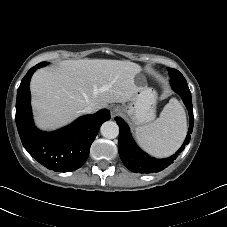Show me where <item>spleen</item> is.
Returning a JSON list of instances; mask_svg holds the SVG:
<instances>
[{
  "label": "spleen",
  "mask_w": 227,
  "mask_h": 227,
  "mask_svg": "<svg viewBox=\"0 0 227 227\" xmlns=\"http://www.w3.org/2000/svg\"><path fill=\"white\" fill-rule=\"evenodd\" d=\"M136 138L144 150L156 157L173 154L182 144L187 123L182 105L172 98L154 122L137 127Z\"/></svg>",
  "instance_id": "obj_1"
}]
</instances>
